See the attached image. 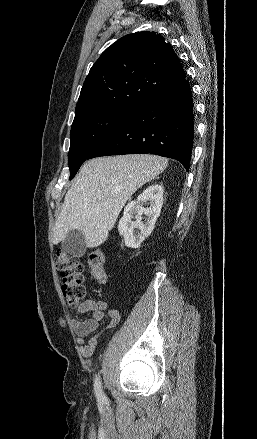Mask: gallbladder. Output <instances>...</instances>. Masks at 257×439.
<instances>
[{
	"mask_svg": "<svg viewBox=\"0 0 257 439\" xmlns=\"http://www.w3.org/2000/svg\"><path fill=\"white\" fill-rule=\"evenodd\" d=\"M62 249L75 257H81L86 252L85 238L82 232L73 230L69 232L61 243Z\"/></svg>",
	"mask_w": 257,
	"mask_h": 439,
	"instance_id": "1",
	"label": "gallbladder"
}]
</instances>
